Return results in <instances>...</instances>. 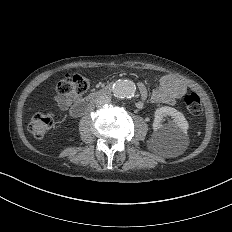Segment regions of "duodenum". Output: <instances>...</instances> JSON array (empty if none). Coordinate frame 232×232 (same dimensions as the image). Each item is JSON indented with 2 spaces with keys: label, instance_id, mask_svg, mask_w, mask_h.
I'll list each match as a JSON object with an SVG mask.
<instances>
[{
  "label": "duodenum",
  "instance_id": "410a0bca",
  "mask_svg": "<svg viewBox=\"0 0 232 232\" xmlns=\"http://www.w3.org/2000/svg\"><path fill=\"white\" fill-rule=\"evenodd\" d=\"M112 91V85L108 84L88 95L86 98L76 102L70 109V114L73 117H78L86 113L94 103L101 97L107 96Z\"/></svg>",
  "mask_w": 232,
  "mask_h": 232
}]
</instances>
